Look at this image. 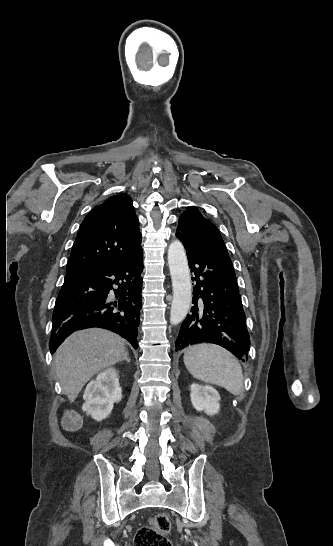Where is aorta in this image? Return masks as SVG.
Wrapping results in <instances>:
<instances>
[{"mask_svg":"<svg viewBox=\"0 0 333 546\" xmlns=\"http://www.w3.org/2000/svg\"><path fill=\"white\" fill-rule=\"evenodd\" d=\"M168 264L173 286L170 322L177 325L187 316L192 300L187 256L178 240L172 242L168 248Z\"/></svg>","mask_w":333,"mask_h":546,"instance_id":"aorta-1","label":"aorta"}]
</instances>
